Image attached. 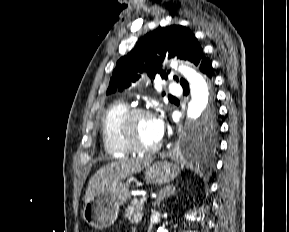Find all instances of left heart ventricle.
I'll return each mask as SVG.
<instances>
[{
    "label": "left heart ventricle",
    "instance_id": "b2bd125f",
    "mask_svg": "<svg viewBox=\"0 0 289 232\" xmlns=\"http://www.w3.org/2000/svg\"><path fill=\"white\" fill-rule=\"evenodd\" d=\"M134 132L139 143L146 147L158 143L154 133V117L141 116L134 123Z\"/></svg>",
    "mask_w": 289,
    "mask_h": 232
}]
</instances>
